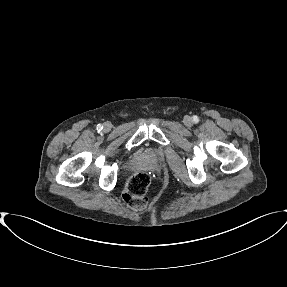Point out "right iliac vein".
<instances>
[{
	"mask_svg": "<svg viewBox=\"0 0 287 287\" xmlns=\"http://www.w3.org/2000/svg\"><path fill=\"white\" fill-rule=\"evenodd\" d=\"M110 127H111V126H110L109 123H105V124H104V128H105L106 130L110 129Z\"/></svg>",
	"mask_w": 287,
	"mask_h": 287,
	"instance_id": "1",
	"label": "right iliac vein"
}]
</instances>
